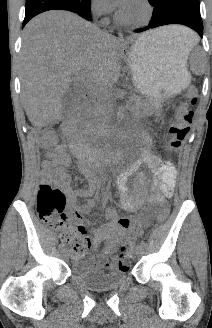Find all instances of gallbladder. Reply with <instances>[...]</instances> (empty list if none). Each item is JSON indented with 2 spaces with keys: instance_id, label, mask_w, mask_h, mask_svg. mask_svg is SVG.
<instances>
[{
  "instance_id": "gallbladder-1",
  "label": "gallbladder",
  "mask_w": 212,
  "mask_h": 328,
  "mask_svg": "<svg viewBox=\"0 0 212 328\" xmlns=\"http://www.w3.org/2000/svg\"><path fill=\"white\" fill-rule=\"evenodd\" d=\"M76 99V92L74 89H68L61 98V106L63 113H68L74 106Z\"/></svg>"
}]
</instances>
